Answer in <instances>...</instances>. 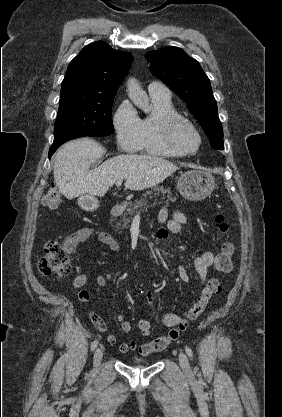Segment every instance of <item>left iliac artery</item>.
Segmentation results:
<instances>
[{
  "label": "left iliac artery",
  "mask_w": 282,
  "mask_h": 417,
  "mask_svg": "<svg viewBox=\"0 0 282 417\" xmlns=\"http://www.w3.org/2000/svg\"><path fill=\"white\" fill-rule=\"evenodd\" d=\"M185 351H186L187 355L189 356V358H191V359H192V357H193V352H192V350H191L188 346H186V347H185Z\"/></svg>",
  "instance_id": "obj_1"
}]
</instances>
